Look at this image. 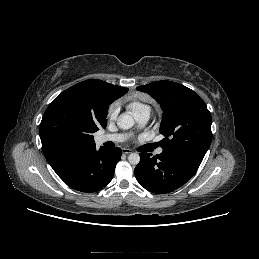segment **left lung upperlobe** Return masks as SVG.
<instances>
[{
	"mask_svg": "<svg viewBox=\"0 0 259 259\" xmlns=\"http://www.w3.org/2000/svg\"><path fill=\"white\" fill-rule=\"evenodd\" d=\"M136 89L150 94L161 104L163 151L192 153L204 158L212 140V118L201 97L171 81L152 82Z\"/></svg>",
	"mask_w": 259,
	"mask_h": 259,
	"instance_id": "1",
	"label": "left lung upper lobe"
}]
</instances>
